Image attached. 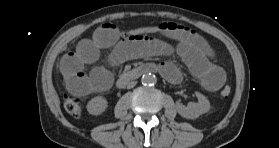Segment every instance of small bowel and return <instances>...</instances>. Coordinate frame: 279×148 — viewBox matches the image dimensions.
I'll list each match as a JSON object with an SVG mask.
<instances>
[{
	"label": "small bowel",
	"mask_w": 279,
	"mask_h": 148,
	"mask_svg": "<svg viewBox=\"0 0 279 148\" xmlns=\"http://www.w3.org/2000/svg\"><path fill=\"white\" fill-rule=\"evenodd\" d=\"M160 33L176 44L151 36L123 37L118 27L111 23L99 26L90 38L82 39L75 50L63 55L59 63L60 73L68 91L77 96L103 92L112 84V75L104 67L94 68L86 74L84 68L99 59L100 52L112 49L108 63L112 66L133 59L152 56L178 55L190 73L200 80L208 91H217L225 83L226 75L215 61L210 45L194 30L171 22L157 24ZM161 74L171 83L182 79V71L171 61L158 65Z\"/></svg>",
	"instance_id": "obj_1"
}]
</instances>
